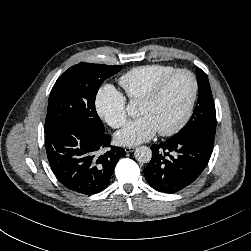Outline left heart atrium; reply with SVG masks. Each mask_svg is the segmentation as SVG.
I'll use <instances>...</instances> for the list:
<instances>
[{
    "instance_id": "1",
    "label": "left heart atrium",
    "mask_w": 251,
    "mask_h": 251,
    "mask_svg": "<svg viewBox=\"0 0 251 251\" xmlns=\"http://www.w3.org/2000/svg\"><path fill=\"white\" fill-rule=\"evenodd\" d=\"M156 132L152 121L147 116H140L116 134V141L122 146H133L151 139Z\"/></svg>"
}]
</instances>
